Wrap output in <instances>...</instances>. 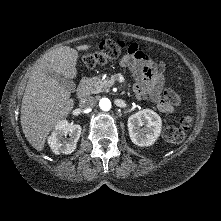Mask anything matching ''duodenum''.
Wrapping results in <instances>:
<instances>
[{
    "label": "duodenum",
    "mask_w": 221,
    "mask_h": 221,
    "mask_svg": "<svg viewBox=\"0 0 221 221\" xmlns=\"http://www.w3.org/2000/svg\"><path fill=\"white\" fill-rule=\"evenodd\" d=\"M91 83H92V79L90 77H84L80 81L79 86H78V95L80 97H84L89 92Z\"/></svg>",
    "instance_id": "410a0bca"
}]
</instances>
